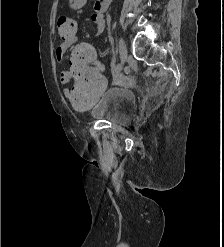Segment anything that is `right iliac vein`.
<instances>
[{"label": "right iliac vein", "instance_id": "right-iliac-vein-1", "mask_svg": "<svg viewBox=\"0 0 224 247\" xmlns=\"http://www.w3.org/2000/svg\"><path fill=\"white\" fill-rule=\"evenodd\" d=\"M119 50H120V60L121 64L123 65L127 58V47L125 44V41L123 39H120L119 41Z\"/></svg>", "mask_w": 224, "mask_h": 247}]
</instances>
